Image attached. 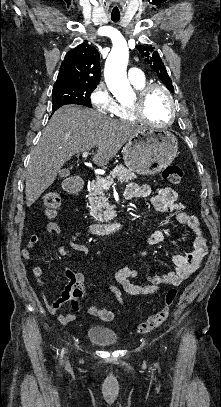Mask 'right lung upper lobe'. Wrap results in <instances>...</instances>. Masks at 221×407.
<instances>
[{"instance_id":"obj_1","label":"right lung upper lobe","mask_w":221,"mask_h":407,"mask_svg":"<svg viewBox=\"0 0 221 407\" xmlns=\"http://www.w3.org/2000/svg\"><path fill=\"white\" fill-rule=\"evenodd\" d=\"M100 54L93 46L80 44L69 51L61 64L54 88L69 84L97 85L100 81Z\"/></svg>"}]
</instances>
